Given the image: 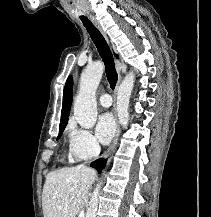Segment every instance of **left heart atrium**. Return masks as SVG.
I'll list each match as a JSON object with an SVG mask.
<instances>
[{
    "label": "left heart atrium",
    "instance_id": "obj_1",
    "mask_svg": "<svg viewBox=\"0 0 211 217\" xmlns=\"http://www.w3.org/2000/svg\"><path fill=\"white\" fill-rule=\"evenodd\" d=\"M116 130L115 120L110 113L101 115L96 124V136L103 144H108Z\"/></svg>",
    "mask_w": 211,
    "mask_h": 217
}]
</instances>
